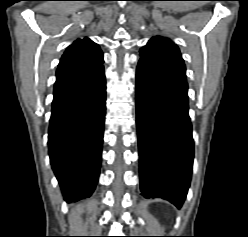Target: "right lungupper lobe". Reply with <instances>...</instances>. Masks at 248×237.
Masks as SVG:
<instances>
[{
    "label": "right lung upper lobe",
    "mask_w": 248,
    "mask_h": 237,
    "mask_svg": "<svg viewBox=\"0 0 248 237\" xmlns=\"http://www.w3.org/2000/svg\"><path fill=\"white\" fill-rule=\"evenodd\" d=\"M103 63L99 46L89 38L77 39L62 56L57 76L71 75L86 71Z\"/></svg>",
    "instance_id": "right-lung-upper-lobe-1"
}]
</instances>
